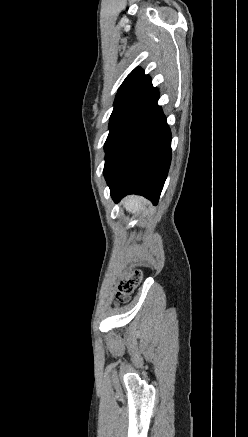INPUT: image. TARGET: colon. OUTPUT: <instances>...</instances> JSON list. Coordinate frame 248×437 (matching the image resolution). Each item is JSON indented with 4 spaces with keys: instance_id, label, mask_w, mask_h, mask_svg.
Wrapping results in <instances>:
<instances>
[{
    "instance_id": "obj_1",
    "label": "colon",
    "mask_w": 248,
    "mask_h": 437,
    "mask_svg": "<svg viewBox=\"0 0 248 437\" xmlns=\"http://www.w3.org/2000/svg\"><path fill=\"white\" fill-rule=\"evenodd\" d=\"M143 277L141 270H133L126 274L118 283L116 299L119 303L127 302Z\"/></svg>"
}]
</instances>
